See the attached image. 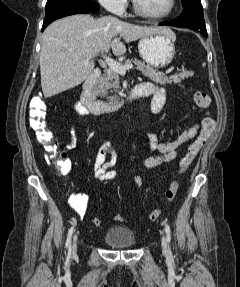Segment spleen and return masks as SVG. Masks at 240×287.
<instances>
[{
  "label": "spleen",
  "mask_w": 240,
  "mask_h": 287,
  "mask_svg": "<svg viewBox=\"0 0 240 287\" xmlns=\"http://www.w3.org/2000/svg\"><path fill=\"white\" fill-rule=\"evenodd\" d=\"M202 66L204 67V66H205V63H203Z\"/></svg>",
  "instance_id": "3e777b00"
}]
</instances>
